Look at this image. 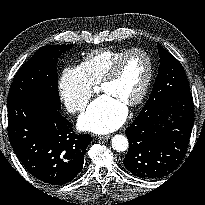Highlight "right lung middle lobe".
Wrapping results in <instances>:
<instances>
[{"mask_svg": "<svg viewBox=\"0 0 205 205\" xmlns=\"http://www.w3.org/2000/svg\"><path fill=\"white\" fill-rule=\"evenodd\" d=\"M72 47L73 45H48L39 48L15 75L8 100L30 97L60 109L56 66L59 56Z\"/></svg>", "mask_w": 205, "mask_h": 205, "instance_id": "dd1d6c3e", "label": "right lung middle lobe"}]
</instances>
